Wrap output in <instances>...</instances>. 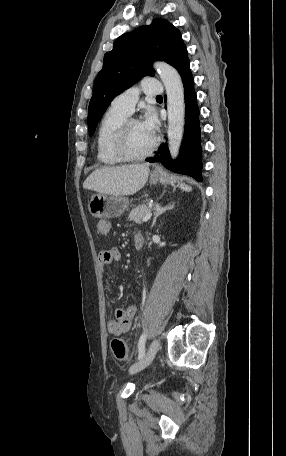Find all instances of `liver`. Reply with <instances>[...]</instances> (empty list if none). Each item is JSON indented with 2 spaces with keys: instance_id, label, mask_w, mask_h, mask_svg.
Returning a JSON list of instances; mask_svg holds the SVG:
<instances>
[{
  "instance_id": "6515ba94",
  "label": "liver",
  "mask_w": 286,
  "mask_h": 456,
  "mask_svg": "<svg viewBox=\"0 0 286 456\" xmlns=\"http://www.w3.org/2000/svg\"><path fill=\"white\" fill-rule=\"evenodd\" d=\"M149 172L148 164L101 167L86 178L83 188L107 195H133L144 187Z\"/></svg>"
}]
</instances>
